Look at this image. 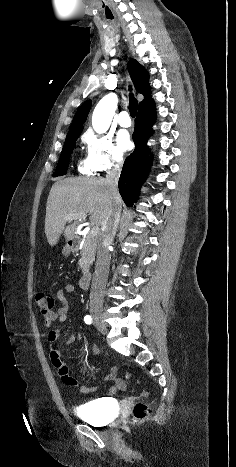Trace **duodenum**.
<instances>
[{"instance_id":"obj_1","label":"duodenum","mask_w":236,"mask_h":467,"mask_svg":"<svg viewBox=\"0 0 236 467\" xmlns=\"http://www.w3.org/2000/svg\"><path fill=\"white\" fill-rule=\"evenodd\" d=\"M69 247L73 250L76 251L78 248V240L77 239H71L69 241ZM91 280H92V275L90 272H84L81 275L80 278V287L82 290L86 291L90 288L91 285Z\"/></svg>"}]
</instances>
